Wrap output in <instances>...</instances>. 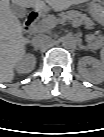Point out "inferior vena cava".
I'll use <instances>...</instances> for the list:
<instances>
[{
	"label": "inferior vena cava",
	"mask_w": 104,
	"mask_h": 137,
	"mask_svg": "<svg viewBox=\"0 0 104 137\" xmlns=\"http://www.w3.org/2000/svg\"><path fill=\"white\" fill-rule=\"evenodd\" d=\"M48 36L46 35H35L32 38V45L34 46V48L36 49H40L43 48L45 46L46 43H48Z\"/></svg>",
	"instance_id": "inferior-vena-cava-1"
}]
</instances>
